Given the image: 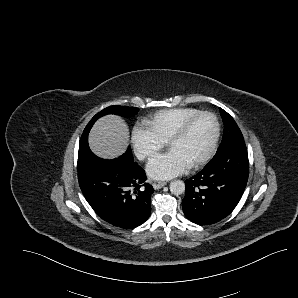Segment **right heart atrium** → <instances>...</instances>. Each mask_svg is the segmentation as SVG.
Returning a JSON list of instances; mask_svg holds the SVG:
<instances>
[{
  "label": "right heart atrium",
  "mask_w": 298,
  "mask_h": 298,
  "mask_svg": "<svg viewBox=\"0 0 298 298\" xmlns=\"http://www.w3.org/2000/svg\"><path fill=\"white\" fill-rule=\"evenodd\" d=\"M131 141L136 155L143 160L151 157L165 145L164 141L150 129L140 125H134L131 128Z\"/></svg>",
  "instance_id": "d8ad5b80"
}]
</instances>
